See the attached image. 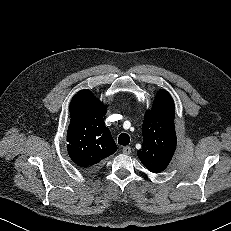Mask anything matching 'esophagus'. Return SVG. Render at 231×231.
Listing matches in <instances>:
<instances>
[{
  "mask_svg": "<svg viewBox=\"0 0 231 231\" xmlns=\"http://www.w3.org/2000/svg\"><path fill=\"white\" fill-rule=\"evenodd\" d=\"M122 151H123L124 154L128 155V154L131 153V147L125 146V147L122 148Z\"/></svg>",
  "mask_w": 231,
  "mask_h": 231,
  "instance_id": "obj_1",
  "label": "esophagus"
}]
</instances>
